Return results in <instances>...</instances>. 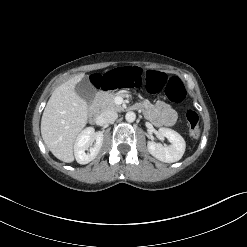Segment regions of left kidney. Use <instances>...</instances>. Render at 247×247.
Masks as SVG:
<instances>
[{
	"label": "left kidney",
	"mask_w": 247,
	"mask_h": 247,
	"mask_svg": "<svg viewBox=\"0 0 247 247\" xmlns=\"http://www.w3.org/2000/svg\"><path fill=\"white\" fill-rule=\"evenodd\" d=\"M159 136L167 138L171 144L163 145L154 141H148L149 153L158 160L166 163H173L180 160L185 152L186 144L183 137L176 131L169 128H159Z\"/></svg>",
	"instance_id": "5707ae66"
}]
</instances>
